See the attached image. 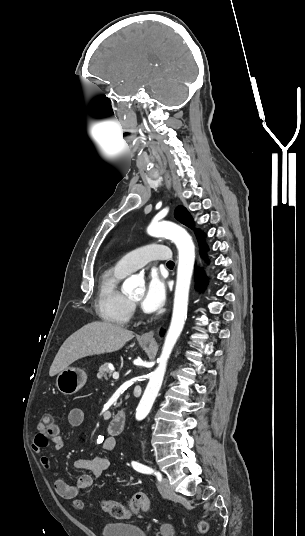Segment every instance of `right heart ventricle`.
Masks as SVG:
<instances>
[{"label": "right heart ventricle", "instance_id": "e07e8e85", "mask_svg": "<svg viewBox=\"0 0 305 536\" xmlns=\"http://www.w3.org/2000/svg\"><path fill=\"white\" fill-rule=\"evenodd\" d=\"M127 274L116 267L105 271L100 279L96 299L100 317L110 323L127 327L132 318V305L118 285Z\"/></svg>", "mask_w": 305, "mask_h": 536}]
</instances>
